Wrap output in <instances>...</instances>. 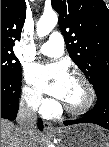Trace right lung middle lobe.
I'll list each match as a JSON object with an SVG mask.
<instances>
[{"label":"right lung middle lobe","mask_w":109,"mask_h":147,"mask_svg":"<svg viewBox=\"0 0 109 147\" xmlns=\"http://www.w3.org/2000/svg\"><path fill=\"white\" fill-rule=\"evenodd\" d=\"M1 79H21V65L13 50L1 48Z\"/></svg>","instance_id":"obj_1"}]
</instances>
